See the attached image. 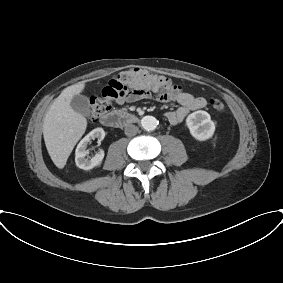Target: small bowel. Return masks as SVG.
Wrapping results in <instances>:
<instances>
[{"instance_id":"small-bowel-1","label":"small bowel","mask_w":283,"mask_h":283,"mask_svg":"<svg viewBox=\"0 0 283 283\" xmlns=\"http://www.w3.org/2000/svg\"><path fill=\"white\" fill-rule=\"evenodd\" d=\"M154 97L161 102H176L179 107L176 110L166 113V118L169 123L176 125L181 123L190 111L205 107L206 100L202 97H196L188 92H185L178 84L172 83L170 88L163 93L154 92ZM144 97L136 96L127 93L125 96L116 99L117 104L125 102H135Z\"/></svg>"}]
</instances>
